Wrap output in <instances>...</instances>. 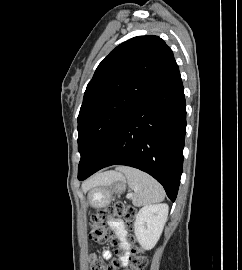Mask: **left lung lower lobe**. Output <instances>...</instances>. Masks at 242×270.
I'll return each instance as SVG.
<instances>
[{
    "label": "left lung lower lobe",
    "mask_w": 242,
    "mask_h": 270,
    "mask_svg": "<svg viewBox=\"0 0 242 270\" xmlns=\"http://www.w3.org/2000/svg\"><path fill=\"white\" fill-rule=\"evenodd\" d=\"M185 129L184 88L175 62L78 178L84 180L110 165H127L153 176L174 202L183 170Z\"/></svg>",
    "instance_id": "0a47b994"
}]
</instances>
